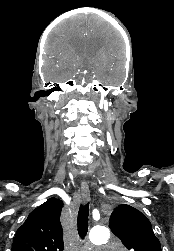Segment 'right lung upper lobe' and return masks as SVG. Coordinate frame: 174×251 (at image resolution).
I'll use <instances>...</instances> for the list:
<instances>
[{
	"instance_id": "1",
	"label": "right lung upper lobe",
	"mask_w": 174,
	"mask_h": 251,
	"mask_svg": "<svg viewBox=\"0 0 174 251\" xmlns=\"http://www.w3.org/2000/svg\"><path fill=\"white\" fill-rule=\"evenodd\" d=\"M63 202L49 198L17 230L12 251H63L60 214Z\"/></svg>"
}]
</instances>
